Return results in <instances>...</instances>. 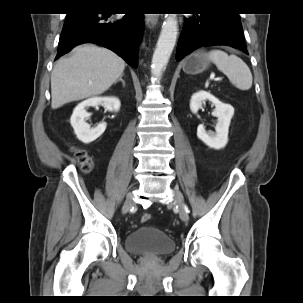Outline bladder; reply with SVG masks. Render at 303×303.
<instances>
[{"instance_id": "1", "label": "bladder", "mask_w": 303, "mask_h": 303, "mask_svg": "<svg viewBox=\"0 0 303 303\" xmlns=\"http://www.w3.org/2000/svg\"><path fill=\"white\" fill-rule=\"evenodd\" d=\"M124 248L128 253L140 256L164 257L176 249V243L157 228L140 226L126 236Z\"/></svg>"}]
</instances>
